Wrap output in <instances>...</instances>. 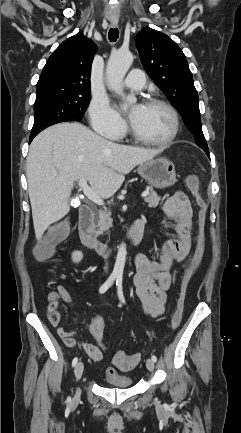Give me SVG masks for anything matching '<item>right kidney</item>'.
<instances>
[{"mask_svg":"<svg viewBox=\"0 0 241 433\" xmlns=\"http://www.w3.org/2000/svg\"><path fill=\"white\" fill-rule=\"evenodd\" d=\"M82 258H83V254H82L81 251H74L72 253V260H73V262L79 263L82 260Z\"/></svg>","mask_w":241,"mask_h":433,"instance_id":"obj_1","label":"right kidney"}]
</instances>
